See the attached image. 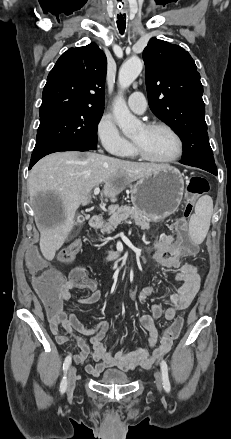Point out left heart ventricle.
Returning a JSON list of instances; mask_svg holds the SVG:
<instances>
[{"label":"left heart ventricle","instance_id":"obj_1","mask_svg":"<svg viewBox=\"0 0 231 439\" xmlns=\"http://www.w3.org/2000/svg\"><path fill=\"white\" fill-rule=\"evenodd\" d=\"M143 150L153 158L166 159L176 152V141L164 129L146 130L141 127L132 138Z\"/></svg>","mask_w":231,"mask_h":439}]
</instances>
